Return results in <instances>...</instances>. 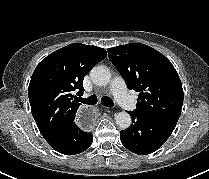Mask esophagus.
I'll list each match as a JSON object with an SVG mask.
<instances>
[{"label": "esophagus", "mask_w": 209, "mask_h": 179, "mask_svg": "<svg viewBox=\"0 0 209 179\" xmlns=\"http://www.w3.org/2000/svg\"><path fill=\"white\" fill-rule=\"evenodd\" d=\"M97 117L94 107H80L76 112V121L82 128H89Z\"/></svg>", "instance_id": "obj_1"}]
</instances>
